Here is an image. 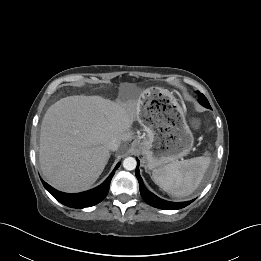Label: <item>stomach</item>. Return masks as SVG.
Masks as SVG:
<instances>
[{"label": "stomach", "mask_w": 261, "mask_h": 261, "mask_svg": "<svg viewBox=\"0 0 261 261\" xmlns=\"http://www.w3.org/2000/svg\"><path fill=\"white\" fill-rule=\"evenodd\" d=\"M139 100L137 120L146 137L138 142V148L146 168L154 170L187 156L193 148L194 137L173 92L151 87Z\"/></svg>", "instance_id": "stomach-1"}]
</instances>
